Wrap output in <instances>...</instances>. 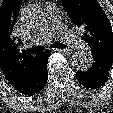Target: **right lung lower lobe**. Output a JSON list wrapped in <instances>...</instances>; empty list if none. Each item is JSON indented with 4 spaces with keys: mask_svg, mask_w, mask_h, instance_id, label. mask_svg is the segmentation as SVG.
Segmentation results:
<instances>
[{
    "mask_svg": "<svg viewBox=\"0 0 113 113\" xmlns=\"http://www.w3.org/2000/svg\"><path fill=\"white\" fill-rule=\"evenodd\" d=\"M50 55L51 53L48 50L39 54L29 77L14 87L15 90L25 95L39 93L44 88L48 79L47 63Z\"/></svg>",
    "mask_w": 113,
    "mask_h": 113,
    "instance_id": "1",
    "label": "right lung lower lobe"
}]
</instances>
